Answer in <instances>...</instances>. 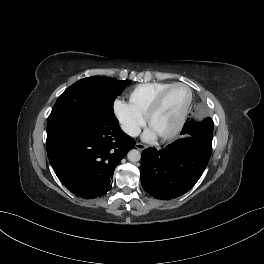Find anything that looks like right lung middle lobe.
<instances>
[{
	"label": "right lung middle lobe",
	"mask_w": 264,
	"mask_h": 264,
	"mask_svg": "<svg viewBox=\"0 0 264 264\" xmlns=\"http://www.w3.org/2000/svg\"><path fill=\"white\" fill-rule=\"evenodd\" d=\"M131 83L92 76L83 78L67 88L57 99L47 122V132L60 123L80 114H99L114 117L116 97Z\"/></svg>",
	"instance_id": "dd1d6c3e"
}]
</instances>
